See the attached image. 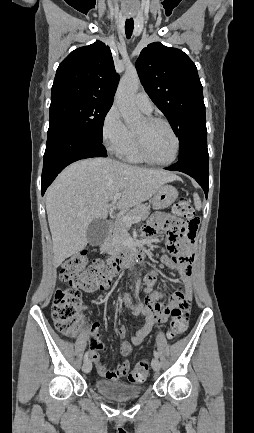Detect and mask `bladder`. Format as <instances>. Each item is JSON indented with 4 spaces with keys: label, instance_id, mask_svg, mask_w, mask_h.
Instances as JSON below:
<instances>
[{
    "label": "bladder",
    "instance_id": "bladder-1",
    "mask_svg": "<svg viewBox=\"0 0 254 433\" xmlns=\"http://www.w3.org/2000/svg\"><path fill=\"white\" fill-rule=\"evenodd\" d=\"M95 389L103 396L111 399H132L139 397L144 388L121 380L97 379Z\"/></svg>",
    "mask_w": 254,
    "mask_h": 433
}]
</instances>
